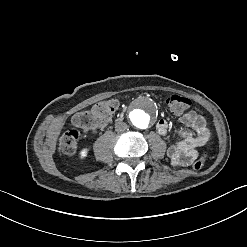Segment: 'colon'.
Wrapping results in <instances>:
<instances>
[{
	"label": "colon",
	"instance_id": "5ec220e1",
	"mask_svg": "<svg viewBox=\"0 0 247 247\" xmlns=\"http://www.w3.org/2000/svg\"><path fill=\"white\" fill-rule=\"evenodd\" d=\"M117 98L115 96H107L105 100H101L97 107L89 108V115L77 114L74 116L73 121L76 125L88 127L90 125H98L106 122L108 116L114 114L116 108ZM169 109L174 113L179 114L189 106V101L185 97L170 96L167 101ZM97 122V123H96ZM79 134L77 130L70 129L66 131L59 139L58 150L61 154L71 155L76 151L78 144ZM206 153L200 155L198 159L193 162V169L200 170L204 167L206 162Z\"/></svg>",
	"mask_w": 247,
	"mask_h": 247
}]
</instances>
